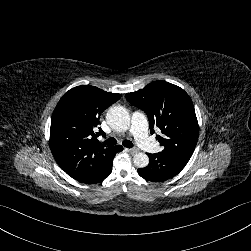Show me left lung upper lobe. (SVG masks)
I'll list each match as a JSON object with an SVG mask.
<instances>
[{"instance_id": "5c2ea615", "label": "left lung upper lobe", "mask_w": 251, "mask_h": 251, "mask_svg": "<svg viewBox=\"0 0 251 251\" xmlns=\"http://www.w3.org/2000/svg\"><path fill=\"white\" fill-rule=\"evenodd\" d=\"M125 97L147 114L151 134L155 127L161 130L156 139L164 148L162 152L189 161L199 133L189 95L174 84L154 81L141 90L127 93Z\"/></svg>"}]
</instances>
